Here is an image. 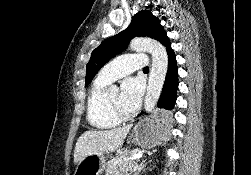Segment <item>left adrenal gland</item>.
Here are the masks:
<instances>
[{"label":"left adrenal gland","instance_id":"a2214340","mask_svg":"<svg viewBox=\"0 0 251 175\" xmlns=\"http://www.w3.org/2000/svg\"><path fill=\"white\" fill-rule=\"evenodd\" d=\"M146 159H141L140 163H134L133 165V175H139L140 171H145Z\"/></svg>","mask_w":251,"mask_h":175}]
</instances>
